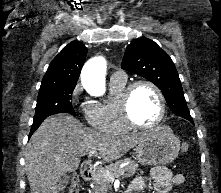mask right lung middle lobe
<instances>
[{
  "label": "right lung middle lobe",
  "instance_id": "right-lung-middle-lobe-1",
  "mask_svg": "<svg viewBox=\"0 0 221 193\" xmlns=\"http://www.w3.org/2000/svg\"><path fill=\"white\" fill-rule=\"evenodd\" d=\"M75 86L40 88L35 109L34 122L57 113L75 115L71 98Z\"/></svg>",
  "mask_w": 221,
  "mask_h": 193
}]
</instances>
